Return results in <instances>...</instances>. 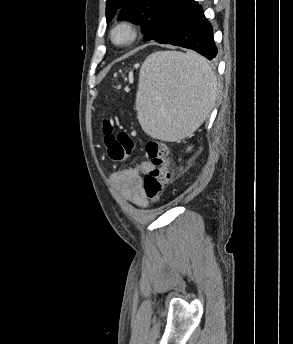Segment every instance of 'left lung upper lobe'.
Here are the masks:
<instances>
[{
	"mask_svg": "<svg viewBox=\"0 0 293 344\" xmlns=\"http://www.w3.org/2000/svg\"><path fill=\"white\" fill-rule=\"evenodd\" d=\"M192 0H107L106 19L129 18L142 26L144 40L160 42L178 25Z\"/></svg>",
	"mask_w": 293,
	"mask_h": 344,
	"instance_id": "5c2ea615",
	"label": "left lung upper lobe"
}]
</instances>
